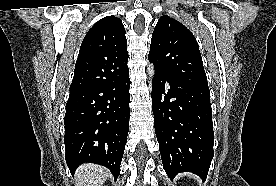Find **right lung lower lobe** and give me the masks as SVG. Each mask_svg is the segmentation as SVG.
<instances>
[{
  "label": "right lung lower lobe",
  "mask_w": 276,
  "mask_h": 186,
  "mask_svg": "<svg viewBox=\"0 0 276 186\" xmlns=\"http://www.w3.org/2000/svg\"><path fill=\"white\" fill-rule=\"evenodd\" d=\"M130 79L70 91L66 105V163L74 174L85 162L110 169L115 180L120 172L130 118Z\"/></svg>",
  "instance_id": "obj_1"
}]
</instances>
